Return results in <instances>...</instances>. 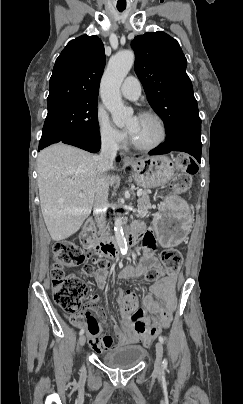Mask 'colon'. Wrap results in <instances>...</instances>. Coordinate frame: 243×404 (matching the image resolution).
Wrapping results in <instances>:
<instances>
[{
	"label": "colon",
	"instance_id": "5ec220e1",
	"mask_svg": "<svg viewBox=\"0 0 243 404\" xmlns=\"http://www.w3.org/2000/svg\"><path fill=\"white\" fill-rule=\"evenodd\" d=\"M198 171L197 164L186 154H181L176 160V173L172 180V189L176 194L186 192L192 184V176ZM54 263L51 269L52 293L56 304L65 312L71 315L79 313L81 302L87 294L85 282L74 274H66L65 270L73 267L83 266L82 272L86 275L94 270L92 264L86 261L83 250L72 242H57L53 246ZM161 262L163 271L156 268L149 269L145 277L149 281L158 280L163 274L174 276L178 273L182 264V255L175 249L162 251ZM102 269L107 268L110 263L106 259L97 260ZM128 276H134L133 270L127 271ZM123 315L134 313L137 308V296L133 292L125 293L119 300Z\"/></svg>",
	"mask_w": 243,
	"mask_h": 404
}]
</instances>
